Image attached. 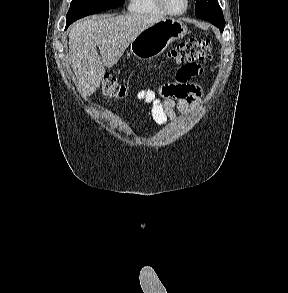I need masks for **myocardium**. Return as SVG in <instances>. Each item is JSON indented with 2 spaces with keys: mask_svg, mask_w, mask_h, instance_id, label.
Masks as SVG:
<instances>
[{
  "mask_svg": "<svg viewBox=\"0 0 288 293\" xmlns=\"http://www.w3.org/2000/svg\"><path fill=\"white\" fill-rule=\"evenodd\" d=\"M156 1H157L158 5L160 6V8H161L164 12H166V13L169 14V15H173V16H180V15L184 14V13L187 11L188 7H189V0H185V7H184L181 11H179V12H175V11H172V10L166 5L165 0H156Z\"/></svg>",
  "mask_w": 288,
  "mask_h": 293,
  "instance_id": "myocardium-1",
  "label": "myocardium"
}]
</instances>
